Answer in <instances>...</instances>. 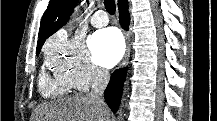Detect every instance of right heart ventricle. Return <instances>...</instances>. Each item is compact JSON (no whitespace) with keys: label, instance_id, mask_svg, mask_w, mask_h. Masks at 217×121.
Instances as JSON below:
<instances>
[{"label":"right heart ventricle","instance_id":"right-heart-ventricle-1","mask_svg":"<svg viewBox=\"0 0 217 121\" xmlns=\"http://www.w3.org/2000/svg\"><path fill=\"white\" fill-rule=\"evenodd\" d=\"M71 86L57 76H50L43 71L39 78V90L44 97H61L66 95Z\"/></svg>","mask_w":217,"mask_h":121}]
</instances>
